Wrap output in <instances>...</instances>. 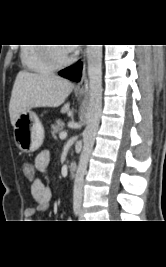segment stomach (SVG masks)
I'll list each match as a JSON object with an SVG mask.
<instances>
[{
  "instance_id": "obj_1",
  "label": "stomach",
  "mask_w": 166,
  "mask_h": 267,
  "mask_svg": "<svg viewBox=\"0 0 166 267\" xmlns=\"http://www.w3.org/2000/svg\"><path fill=\"white\" fill-rule=\"evenodd\" d=\"M13 134L16 146L25 153L36 151L44 140L43 126L36 113L30 110L17 118Z\"/></svg>"
}]
</instances>
